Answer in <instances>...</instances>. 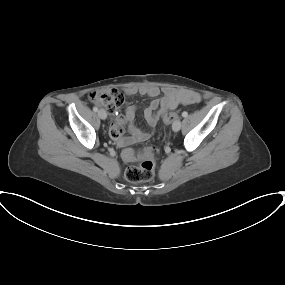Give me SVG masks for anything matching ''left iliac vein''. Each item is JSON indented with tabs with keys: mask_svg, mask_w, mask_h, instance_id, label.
Returning a JSON list of instances; mask_svg holds the SVG:
<instances>
[{
	"mask_svg": "<svg viewBox=\"0 0 285 285\" xmlns=\"http://www.w3.org/2000/svg\"><path fill=\"white\" fill-rule=\"evenodd\" d=\"M180 128H181V122L180 120H176L172 125V129L173 131L177 132L180 130Z\"/></svg>",
	"mask_w": 285,
	"mask_h": 285,
	"instance_id": "left-iliac-vein-1",
	"label": "left iliac vein"
}]
</instances>
